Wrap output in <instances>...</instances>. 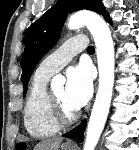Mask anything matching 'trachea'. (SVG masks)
Segmentation results:
<instances>
[{"mask_svg":"<svg viewBox=\"0 0 139 150\" xmlns=\"http://www.w3.org/2000/svg\"><path fill=\"white\" fill-rule=\"evenodd\" d=\"M87 52H89V53L94 52V47H93V46H89V47L87 48Z\"/></svg>","mask_w":139,"mask_h":150,"instance_id":"trachea-1","label":"trachea"}]
</instances>
